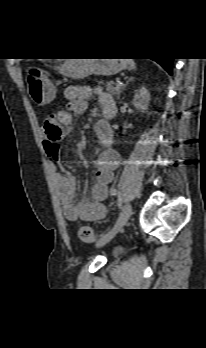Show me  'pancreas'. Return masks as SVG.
Segmentation results:
<instances>
[{"instance_id": "cf45deb5", "label": "pancreas", "mask_w": 206, "mask_h": 348, "mask_svg": "<svg viewBox=\"0 0 206 348\" xmlns=\"http://www.w3.org/2000/svg\"><path fill=\"white\" fill-rule=\"evenodd\" d=\"M100 83H103L102 81ZM106 91L110 92L112 95H119L121 87H115L112 82H107Z\"/></svg>"}]
</instances>
